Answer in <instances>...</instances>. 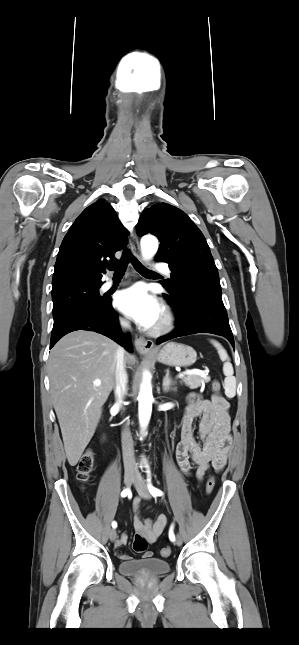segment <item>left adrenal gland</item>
Wrapping results in <instances>:
<instances>
[{
    "instance_id": "obj_1",
    "label": "left adrenal gland",
    "mask_w": 299,
    "mask_h": 645,
    "mask_svg": "<svg viewBox=\"0 0 299 645\" xmlns=\"http://www.w3.org/2000/svg\"><path fill=\"white\" fill-rule=\"evenodd\" d=\"M169 373H170L169 369H167L166 370V375L163 378V384H162L163 385V391L168 392V391L171 390V391L176 392L177 391L176 382H173L171 380Z\"/></svg>"
}]
</instances>
